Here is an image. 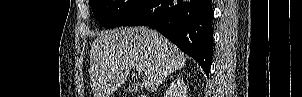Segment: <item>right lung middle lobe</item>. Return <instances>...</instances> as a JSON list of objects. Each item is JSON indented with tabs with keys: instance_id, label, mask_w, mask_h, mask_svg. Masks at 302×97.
<instances>
[{
	"instance_id": "obj_1",
	"label": "right lung middle lobe",
	"mask_w": 302,
	"mask_h": 97,
	"mask_svg": "<svg viewBox=\"0 0 302 97\" xmlns=\"http://www.w3.org/2000/svg\"><path fill=\"white\" fill-rule=\"evenodd\" d=\"M147 0H89L95 19L104 28L123 26Z\"/></svg>"
}]
</instances>
